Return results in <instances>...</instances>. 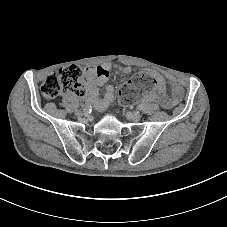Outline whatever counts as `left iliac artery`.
Here are the masks:
<instances>
[{"label":"left iliac artery","mask_w":227,"mask_h":227,"mask_svg":"<svg viewBox=\"0 0 227 227\" xmlns=\"http://www.w3.org/2000/svg\"><path fill=\"white\" fill-rule=\"evenodd\" d=\"M137 108H138V110H142L143 106L140 104Z\"/></svg>","instance_id":"44dca946"}]
</instances>
